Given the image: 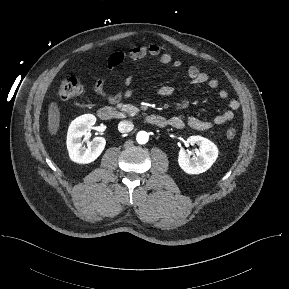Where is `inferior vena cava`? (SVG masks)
<instances>
[{
    "mask_svg": "<svg viewBox=\"0 0 289 289\" xmlns=\"http://www.w3.org/2000/svg\"><path fill=\"white\" fill-rule=\"evenodd\" d=\"M133 128H134V125L130 121L123 120V121H120L118 124V130L121 133H128L132 131Z\"/></svg>",
    "mask_w": 289,
    "mask_h": 289,
    "instance_id": "1",
    "label": "inferior vena cava"
}]
</instances>
